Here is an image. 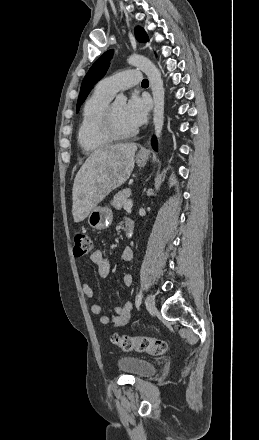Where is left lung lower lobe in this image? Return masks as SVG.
Segmentation results:
<instances>
[{"instance_id":"left-lung-lower-lobe-1","label":"left lung lower lobe","mask_w":259,"mask_h":440,"mask_svg":"<svg viewBox=\"0 0 259 440\" xmlns=\"http://www.w3.org/2000/svg\"><path fill=\"white\" fill-rule=\"evenodd\" d=\"M152 145H153V148L156 149V140L155 139L152 140Z\"/></svg>"}]
</instances>
